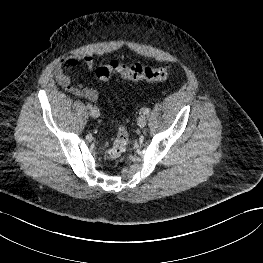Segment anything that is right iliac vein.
Masks as SVG:
<instances>
[{
    "mask_svg": "<svg viewBox=\"0 0 263 263\" xmlns=\"http://www.w3.org/2000/svg\"><path fill=\"white\" fill-rule=\"evenodd\" d=\"M90 115L93 117V118H98L100 116V112L97 108H93L91 109L90 111Z\"/></svg>",
    "mask_w": 263,
    "mask_h": 263,
    "instance_id": "63e3f726",
    "label": "right iliac vein"
}]
</instances>
